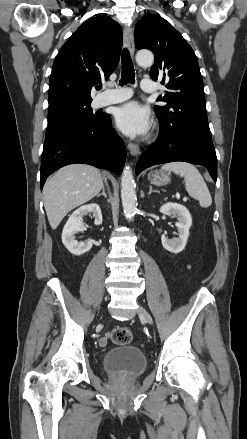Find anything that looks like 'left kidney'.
<instances>
[{"mask_svg":"<svg viewBox=\"0 0 247 439\" xmlns=\"http://www.w3.org/2000/svg\"><path fill=\"white\" fill-rule=\"evenodd\" d=\"M160 212L167 216H177L175 226L178 228L179 237L168 239L165 235L161 236L163 247L171 253L177 254L184 250L188 237L189 229L192 226V217L187 208L177 203H166L161 206Z\"/></svg>","mask_w":247,"mask_h":439,"instance_id":"5707ae66","label":"left kidney"}]
</instances>
